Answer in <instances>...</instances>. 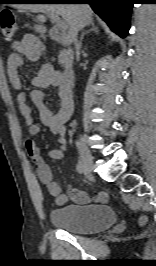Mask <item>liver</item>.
<instances>
[{"instance_id":"liver-1","label":"liver","mask_w":156,"mask_h":266,"mask_svg":"<svg viewBox=\"0 0 156 266\" xmlns=\"http://www.w3.org/2000/svg\"><path fill=\"white\" fill-rule=\"evenodd\" d=\"M20 8L32 12H48L61 15L69 28L68 39L74 41L75 34L93 20V11L88 5L74 4H36L20 5ZM36 21L44 22L43 16H37ZM40 26L37 25L36 29Z\"/></svg>"}]
</instances>
